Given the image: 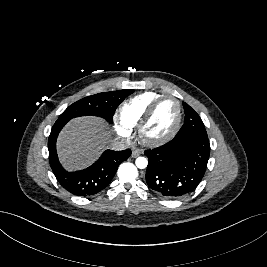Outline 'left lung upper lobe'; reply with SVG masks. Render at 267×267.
Instances as JSON below:
<instances>
[{
	"mask_svg": "<svg viewBox=\"0 0 267 267\" xmlns=\"http://www.w3.org/2000/svg\"><path fill=\"white\" fill-rule=\"evenodd\" d=\"M182 104L185 111V122L175 138L191 134H200L207 136L205 126L197 112L185 102H183Z\"/></svg>",
	"mask_w": 267,
	"mask_h": 267,
	"instance_id": "obj_1",
	"label": "left lung upper lobe"
}]
</instances>
